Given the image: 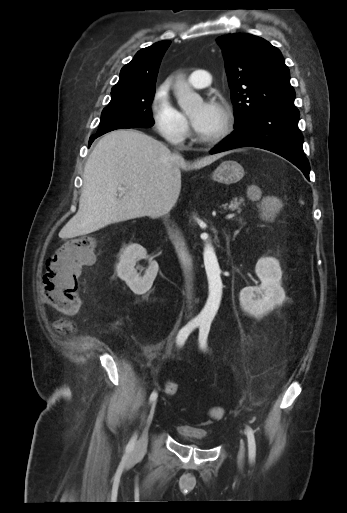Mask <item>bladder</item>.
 Listing matches in <instances>:
<instances>
[{
  "mask_svg": "<svg viewBox=\"0 0 347 513\" xmlns=\"http://www.w3.org/2000/svg\"><path fill=\"white\" fill-rule=\"evenodd\" d=\"M177 430L180 437L187 444L204 450H211L216 447L215 442L209 439L207 431L204 429L192 427L189 425H180L178 426Z\"/></svg>",
  "mask_w": 347,
  "mask_h": 513,
  "instance_id": "31cf9c89",
  "label": "bladder"
}]
</instances>
